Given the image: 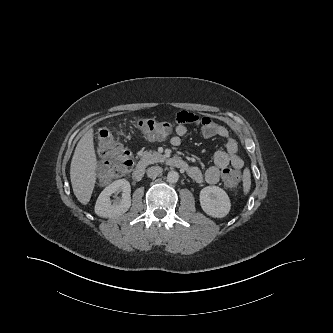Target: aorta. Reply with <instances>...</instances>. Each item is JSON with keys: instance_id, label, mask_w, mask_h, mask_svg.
Segmentation results:
<instances>
[{"instance_id": "aorta-1", "label": "aorta", "mask_w": 333, "mask_h": 333, "mask_svg": "<svg viewBox=\"0 0 333 333\" xmlns=\"http://www.w3.org/2000/svg\"><path fill=\"white\" fill-rule=\"evenodd\" d=\"M179 180V174L176 171H170L167 174V181L169 183H176Z\"/></svg>"}]
</instances>
